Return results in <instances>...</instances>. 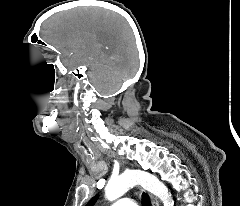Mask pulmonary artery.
Instances as JSON below:
<instances>
[{"mask_svg": "<svg viewBox=\"0 0 240 206\" xmlns=\"http://www.w3.org/2000/svg\"><path fill=\"white\" fill-rule=\"evenodd\" d=\"M111 206H138L136 202L130 198H121L113 203Z\"/></svg>", "mask_w": 240, "mask_h": 206, "instance_id": "1", "label": "pulmonary artery"}]
</instances>
